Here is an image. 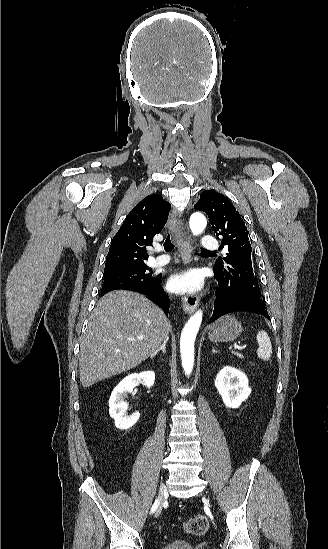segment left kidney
Masks as SVG:
<instances>
[{
  "instance_id": "obj_1",
  "label": "left kidney",
  "mask_w": 328,
  "mask_h": 549,
  "mask_svg": "<svg viewBox=\"0 0 328 549\" xmlns=\"http://www.w3.org/2000/svg\"><path fill=\"white\" fill-rule=\"evenodd\" d=\"M215 387L229 409H238L248 399L251 389L245 373L234 367H223L215 379Z\"/></svg>"
}]
</instances>
